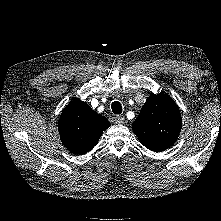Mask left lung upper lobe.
I'll use <instances>...</instances> for the list:
<instances>
[{
	"instance_id": "1",
	"label": "left lung upper lobe",
	"mask_w": 221,
	"mask_h": 221,
	"mask_svg": "<svg viewBox=\"0 0 221 221\" xmlns=\"http://www.w3.org/2000/svg\"><path fill=\"white\" fill-rule=\"evenodd\" d=\"M181 126L178 106L168 95L160 93L147 98L132 130L146 148L160 152L177 140Z\"/></svg>"
}]
</instances>
